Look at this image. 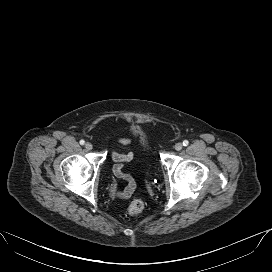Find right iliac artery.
Instances as JSON below:
<instances>
[{"mask_svg":"<svg viewBox=\"0 0 272 272\" xmlns=\"http://www.w3.org/2000/svg\"><path fill=\"white\" fill-rule=\"evenodd\" d=\"M81 145H84L85 144V141L84 140H80L79 142Z\"/></svg>","mask_w":272,"mask_h":272,"instance_id":"right-iliac-artery-1","label":"right iliac artery"}]
</instances>
